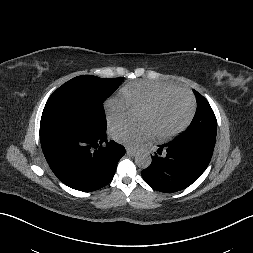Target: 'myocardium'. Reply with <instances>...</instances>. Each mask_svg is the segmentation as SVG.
<instances>
[{
    "label": "myocardium",
    "instance_id": "1",
    "mask_svg": "<svg viewBox=\"0 0 253 253\" xmlns=\"http://www.w3.org/2000/svg\"><path fill=\"white\" fill-rule=\"evenodd\" d=\"M173 94H182L183 96H185L189 101L190 110H189V113H188L186 119L180 125H178L176 128H174L173 130H171L165 134H155V138L158 141L170 140V139L174 138L175 136H177L178 134H180L182 131H184L191 123V121L195 115V112H196L195 98L193 97V95L189 91H187L185 89H181V88L166 90V91H163V92L157 94L149 103H147L144 107H142V110H146V111L153 110L160 103V101L163 98L173 95Z\"/></svg>",
    "mask_w": 253,
    "mask_h": 253
}]
</instances>
